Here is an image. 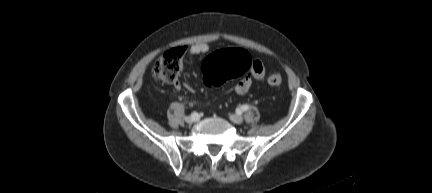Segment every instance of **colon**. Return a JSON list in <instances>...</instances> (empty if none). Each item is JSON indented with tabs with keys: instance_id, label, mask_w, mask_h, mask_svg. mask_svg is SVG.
<instances>
[{
	"instance_id": "obj_1",
	"label": "colon",
	"mask_w": 432,
	"mask_h": 193,
	"mask_svg": "<svg viewBox=\"0 0 432 193\" xmlns=\"http://www.w3.org/2000/svg\"><path fill=\"white\" fill-rule=\"evenodd\" d=\"M181 49H171L161 55L153 66L156 77L166 83H175L182 70ZM253 59L238 48L218 50L212 53L203 63V76L209 86H218L226 80L245 75L251 70ZM267 83L271 87L282 84L279 72H271L267 76Z\"/></svg>"
}]
</instances>
